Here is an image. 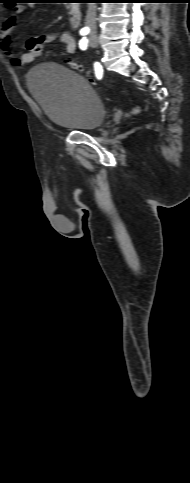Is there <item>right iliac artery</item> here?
<instances>
[{
	"mask_svg": "<svg viewBox=\"0 0 190 483\" xmlns=\"http://www.w3.org/2000/svg\"><path fill=\"white\" fill-rule=\"evenodd\" d=\"M89 31H90L89 28L84 27L80 30V34L84 36V35H87L89 33ZM100 72H101L100 64L95 63V73H96V76H97L98 79L100 78Z\"/></svg>",
	"mask_w": 190,
	"mask_h": 483,
	"instance_id": "82829eb1",
	"label": "right iliac artery"
}]
</instances>
